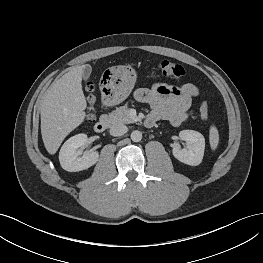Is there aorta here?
<instances>
[{"label": "aorta", "mask_w": 263, "mask_h": 263, "mask_svg": "<svg viewBox=\"0 0 263 263\" xmlns=\"http://www.w3.org/2000/svg\"><path fill=\"white\" fill-rule=\"evenodd\" d=\"M131 139L133 142H139L142 139V133L138 130H135L131 133Z\"/></svg>", "instance_id": "aorta-1"}]
</instances>
